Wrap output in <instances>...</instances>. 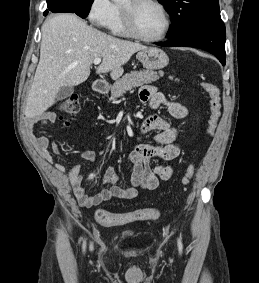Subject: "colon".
Wrapping results in <instances>:
<instances>
[{
    "label": "colon",
    "mask_w": 259,
    "mask_h": 283,
    "mask_svg": "<svg viewBox=\"0 0 259 283\" xmlns=\"http://www.w3.org/2000/svg\"><path fill=\"white\" fill-rule=\"evenodd\" d=\"M202 88L209 96V117L206 126V134L212 136L221 113V97L220 90L217 86L212 83L202 82ZM80 110L79 98L73 94L63 100L60 106V111L64 115L73 116L76 115ZM195 169L194 162H191L181 179L182 189H185L189 180L191 179ZM158 216V211L154 208L138 209L126 213H111L106 210H98L96 213L97 221L105 226H119L135 221H142L147 219H154Z\"/></svg>",
    "instance_id": "obj_1"
}]
</instances>
